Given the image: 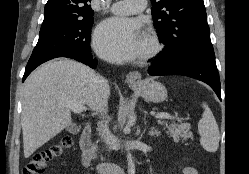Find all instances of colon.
<instances>
[{"mask_svg":"<svg viewBox=\"0 0 249 174\" xmlns=\"http://www.w3.org/2000/svg\"><path fill=\"white\" fill-rule=\"evenodd\" d=\"M72 143V137L65 135L49 148L35 153L26 163L22 174H43L47 164L60 157Z\"/></svg>","mask_w":249,"mask_h":174,"instance_id":"obj_1","label":"colon"}]
</instances>
